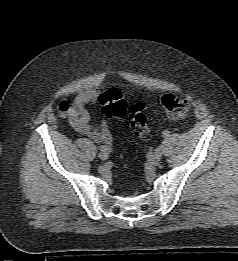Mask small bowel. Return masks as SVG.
I'll return each mask as SVG.
<instances>
[{
    "mask_svg": "<svg viewBox=\"0 0 238 261\" xmlns=\"http://www.w3.org/2000/svg\"><path fill=\"white\" fill-rule=\"evenodd\" d=\"M102 93L96 89L81 92L71 104L63 102L59 106L60 114L66 118L72 128L98 144H110L111 133L108 123L103 120L98 127L90 125V113L86 106L99 102Z\"/></svg>",
    "mask_w": 238,
    "mask_h": 261,
    "instance_id": "obj_1",
    "label": "small bowel"
}]
</instances>
